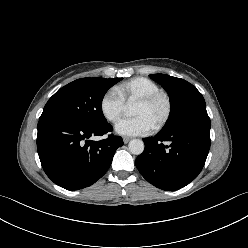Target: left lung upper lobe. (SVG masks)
<instances>
[{
  "label": "left lung upper lobe",
  "instance_id": "obj_1",
  "mask_svg": "<svg viewBox=\"0 0 248 248\" xmlns=\"http://www.w3.org/2000/svg\"><path fill=\"white\" fill-rule=\"evenodd\" d=\"M150 77L164 87L171 101L170 116L162 132L171 131L198 118L208 117L205 100L195 86L166 74H152Z\"/></svg>",
  "mask_w": 248,
  "mask_h": 248
}]
</instances>
